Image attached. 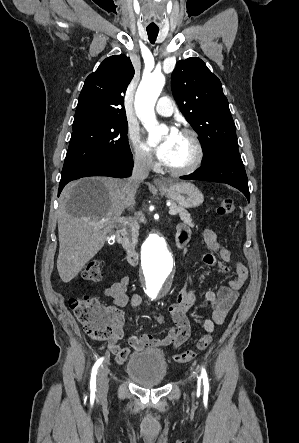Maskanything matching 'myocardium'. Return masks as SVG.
<instances>
[{"mask_svg": "<svg viewBox=\"0 0 299 443\" xmlns=\"http://www.w3.org/2000/svg\"><path fill=\"white\" fill-rule=\"evenodd\" d=\"M179 134L186 135L190 138V140L193 144V148H194L193 159L191 160V162L188 165H186L184 167H179V168L171 167V166L166 165L165 163L162 164V167L168 173H171V174L177 175V176H182V175L190 174L200 167V165L203 161V158H204V150H203V146H202V143L200 141L198 134L193 129L183 128L179 131Z\"/></svg>", "mask_w": 299, "mask_h": 443, "instance_id": "f54148a6", "label": "myocardium"}]
</instances>
